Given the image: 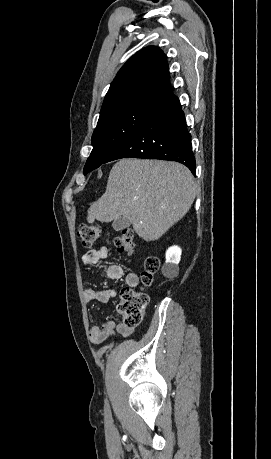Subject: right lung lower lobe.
Returning a JSON list of instances; mask_svg holds the SVG:
<instances>
[{
	"mask_svg": "<svg viewBox=\"0 0 271 459\" xmlns=\"http://www.w3.org/2000/svg\"><path fill=\"white\" fill-rule=\"evenodd\" d=\"M126 157L176 161L195 174L191 134L178 99L139 127L106 162Z\"/></svg>",
	"mask_w": 271,
	"mask_h": 459,
	"instance_id": "right-lung-lower-lobe-1",
	"label": "right lung lower lobe"
}]
</instances>
